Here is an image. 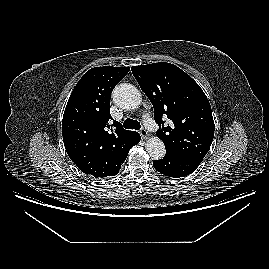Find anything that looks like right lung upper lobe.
I'll return each mask as SVG.
<instances>
[{"label": "right lung upper lobe", "instance_id": "cb5924a9", "mask_svg": "<svg viewBox=\"0 0 269 269\" xmlns=\"http://www.w3.org/2000/svg\"><path fill=\"white\" fill-rule=\"evenodd\" d=\"M129 67H94L74 87L66 105L62 135L67 154L85 174L111 177L125 161L124 148L135 131L125 130L110 119L112 90L129 72Z\"/></svg>", "mask_w": 269, "mask_h": 269}]
</instances>
